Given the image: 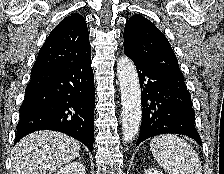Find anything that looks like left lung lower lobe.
I'll use <instances>...</instances> for the list:
<instances>
[{"label":"left lung lower lobe","mask_w":224,"mask_h":174,"mask_svg":"<svg viewBox=\"0 0 224 174\" xmlns=\"http://www.w3.org/2000/svg\"><path fill=\"white\" fill-rule=\"evenodd\" d=\"M131 59L142 89V123L136 146L150 137L167 133L189 136L202 146L195 128L191 95L180 69L164 62Z\"/></svg>","instance_id":"left-lung-lower-lobe-1"}]
</instances>
